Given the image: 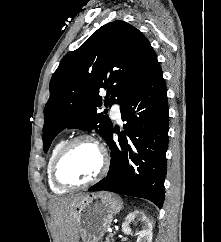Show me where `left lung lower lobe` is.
Masks as SVG:
<instances>
[{"instance_id": "obj_1", "label": "left lung lower lobe", "mask_w": 221, "mask_h": 242, "mask_svg": "<svg viewBox=\"0 0 221 242\" xmlns=\"http://www.w3.org/2000/svg\"><path fill=\"white\" fill-rule=\"evenodd\" d=\"M124 132L111 130L107 144L111 163L107 176L89 188L141 197L159 208L165 197L169 108L161 67L120 104ZM119 135L113 141V133Z\"/></svg>"}]
</instances>
